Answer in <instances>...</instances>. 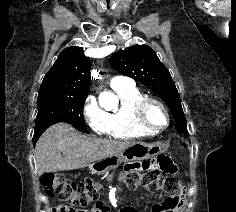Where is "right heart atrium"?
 I'll return each mask as SVG.
<instances>
[{
	"label": "right heart atrium",
	"instance_id": "right-heart-atrium-1",
	"mask_svg": "<svg viewBox=\"0 0 236 212\" xmlns=\"http://www.w3.org/2000/svg\"><path fill=\"white\" fill-rule=\"evenodd\" d=\"M83 116L89 127L97 134H105L106 114L93 96L87 97L83 106Z\"/></svg>",
	"mask_w": 236,
	"mask_h": 212
}]
</instances>
